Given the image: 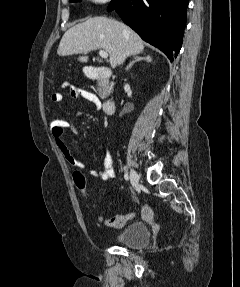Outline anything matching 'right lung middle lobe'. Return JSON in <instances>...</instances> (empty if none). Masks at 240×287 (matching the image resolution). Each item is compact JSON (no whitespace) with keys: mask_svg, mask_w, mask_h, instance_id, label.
<instances>
[{"mask_svg":"<svg viewBox=\"0 0 240 287\" xmlns=\"http://www.w3.org/2000/svg\"><path fill=\"white\" fill-rule=\"evenodd\" d=\"M81 0H70V2H80Z\"/></svg>","mask_w":240,"mask_h":287,"instance_id":"dd1d6c3e","label":"right lung middle lobe"}]
</instances>
